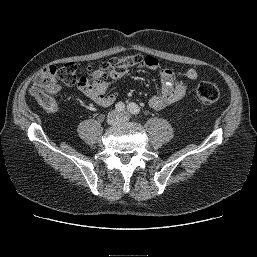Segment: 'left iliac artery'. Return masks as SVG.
Masks as SVG:
<instances>
[{"label": "left iliac artery", "mask_w": 257, "mask_h": 257, "mask_svg": "<svg viewBox=\"0 0 257 257\" xmlns=\"http://www.w3.org/2000/svg\"><path fill=\"white\" fill-rule=\"evenodd\" d=\"M127 109L130 113L137 115L140 113V108L137 104L135 103H129L127 106Z\"/></svg>", "instance_id": "obj_1"}]
</instances>
